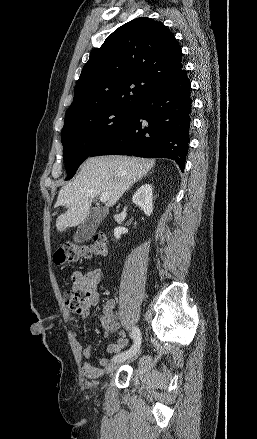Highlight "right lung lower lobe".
I'll list each match as a JSON object with an SVG mask.
<instances>
[{
  "mask_svg": "<svg viewBox=\"0 0 257 439\" xmlns=\"http://www.w3.org/2000/svg\"><path fill=\"white\" fill-rule=\"evenodd\" d=\"M191 84L186 71L149 93L130 120L103 140L89 156L134 155L169 158L183 171L188 153Z\"/></svg>",
  "mask_w": 257,
  "mask_h": 439,
  "instance_id": "1",
  "label": "right lung lower lobe"
}]
</instances>
